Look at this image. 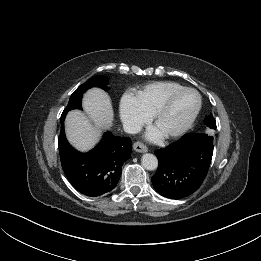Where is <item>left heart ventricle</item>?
<instances>
[{
  "label": "left heart ventricle",
  "instance_id": "obj_1",
  "mask_svg": "<svg viewBox=\"0 0 261 261\" xmlns=\"http://www.w3.org/2000/svg\"><path fill=\"white\" fill-rule=\"evenodd\" d=\"M198 103L193 92H184L173 99L166 112L161 116L156 129L162 134L179 129L190 118Z\"/></svg>",
  "mask_w": 261,
  "mask_h": 261
}]
</instances>
